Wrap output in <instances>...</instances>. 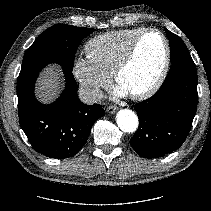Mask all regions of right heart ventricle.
Returning a JSON list of instances; mask_svg holds the SVG:
<instances>
[{
	"mask_svg": "<svg viewBox=\"0 0 211 211\" xmlns=\"http://www.w3.org/2000/svg\"><path fill=\"white\" fill-rule=\"evenodd\" d=\"M144 28H128L100 34L85 45L87 57L105 74L112 76L133 39Z\"/></svg>",
	"mask_w": 211,
	"mask_h": 211,
	"instance_id": "obj_1",
	"label": "right heart ventricle"
}]
</instances>
